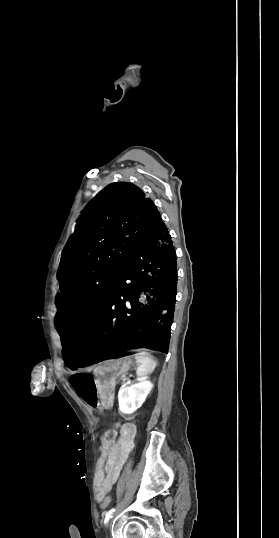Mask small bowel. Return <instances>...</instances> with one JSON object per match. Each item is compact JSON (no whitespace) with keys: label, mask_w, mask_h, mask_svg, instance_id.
<instances>
[{"label":"small bowel","mask_w":279,"mask_h":538,"mask_svg":"<svg viewBox=\"0 0 279 538\" xmlns=\"http://www.w3.org/2000/svg\"><path fill=\"white\" fill-rule=\"evenodd\" d=\"M70 384L76 395L89 407L101 409L96 385L93 377L78 373L71 377ZM136 428L132 423L120 426V436L117 442L102 443L101 446V473L98 477V496L103 499L119 478L122 467L127 462L134 447Z\"/></svg>","instance_id":"obj_1"}]
</instances>
